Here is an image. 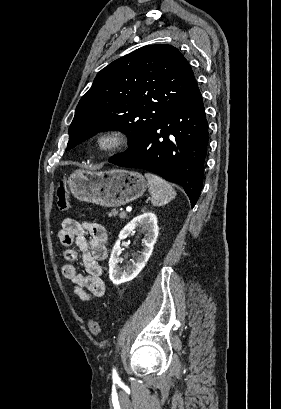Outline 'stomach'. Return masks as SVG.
<instances>
[{"instance_id": "0dacf381", "label": "stomach", "mask_w": 281, "mask_h": 409, "mask_svg": "<svg viewBox=\"0 0 281 409\" xmlns=\"http://www.w3.org/2000/svg\"><path fill=\"white\" fill-rule=\"evenodd\" d=\"M70 192L78 200L95 202L101 207H121L145 192L146 180L133 170H83L77 168L68 180Z\"/></svg>"}]
</instances>
